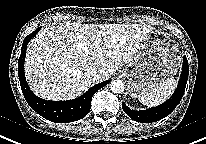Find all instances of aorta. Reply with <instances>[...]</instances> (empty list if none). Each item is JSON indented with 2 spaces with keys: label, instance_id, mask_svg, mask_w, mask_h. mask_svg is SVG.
Instances as JSON below:
<instances>
[{
  "label": "aorta",
  "instance_id": "762f6f07",
  "mask_svg": "<svg viewBox=\"0 0 206 144\" xmlns=\"http://www.w3.org/2000/svg\"><path fill=\"white\" fill-rule=\"evenodd\" d=\"M111 91L113 93H122L125 89V85L121 80H114L110 84Z\"/></svg>",
  "mask_w": 206,
  "mask_h": 144
}]
</instances>
